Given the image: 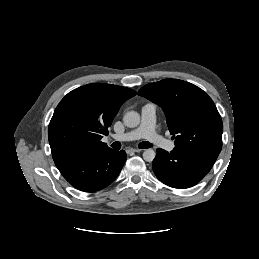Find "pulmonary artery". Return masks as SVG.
<instances>
[{"mask_svg":"<svg viewBox=\"0 0 259 259\" xmlns=\"http://www.w3.org/2000/svg\"><path fill=\"white\" fill-rule=\"evenodd\" d=\"M155 123L156 106L153 103H147L141 108L140 125L123 134L114 135V139L116 141H133L145 138L165 150L172 151L175 148V144L157 133Z\"/></svg>","mask_w":259,"mask_h":259,"instance_id":"obj_1","label":"pulmonary artery"}]
</instances>
